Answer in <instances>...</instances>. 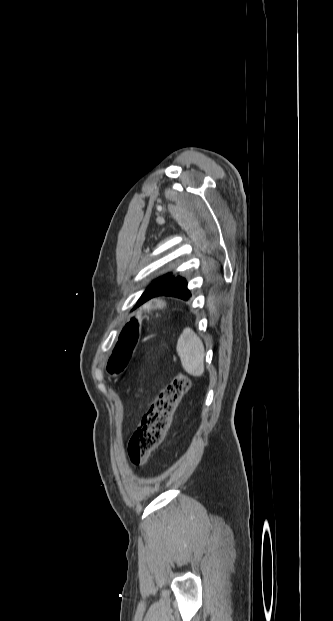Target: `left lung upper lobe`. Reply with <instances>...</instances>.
<instances>
[{"label": "left lung upper lobe", "instance_id": "obj_1", "mask_svg": "<svg viewBox=\"0 0 333 621\" xmlns=\"http://www.w3.org/2000/svg\"><path fill=\"white\" fill-rule=\"evenodd\" d=\"M176 277L172 274V272L167 273L157 279H155L153 281V283L151 285H149L146 290L144 291V293L142 294V296L140 297V299L138 300L136 307L142 305L143 303H145L146 301L152 299L153 295L164 285L168 284L169 282H171L172 280H174Z\"/></svg>", "mask_w": 333, "mask_h": 621}]
</instances>
